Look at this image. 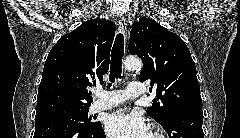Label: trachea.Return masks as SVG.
<instances>
[{
  "instance_id": "1",
  "label": "trachea",
  "mask_w": 240,
  "mask_h": 138,
  "mask_svg": "<svg viewBox=\"0 0 240 138\" xmlns=\"http://www.w3.org/2000/svg\"><path fill=\"white\" fill-rule=\"evenodd\" d=\"M124 55V38L123 34H117L115 42L111 52L110 61V75L108 87L112 86L115 79L122 78V58Z\"/></svg>"
}]
</instances>
